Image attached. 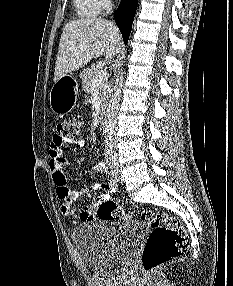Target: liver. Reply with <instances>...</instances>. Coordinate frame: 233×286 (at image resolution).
Listing matches in <instances>:
<instances>
[{"label": "liver", "instance_id": "1", "mask_svg": "<svg viewBox=\"0 0 233 286\" xmlns=\"http://www.w3.org/2000/svg\"><path fill=\"white\" fill-rule=\"evenodd\" d=\"M120 45L119 30L111 21L87 18L67 23L59 43L54 82L101 55L112 61Z\"/></svg>", "mask_w": 233, "mask_h": 286}]
</instances>
